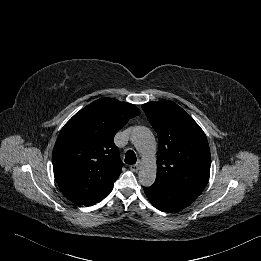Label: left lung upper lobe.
Returning <instances> with one entry per match:
<instances>
[{"mask_svg": "<svg viewBox=\"0 0 261 261\" xmlns=\"http://www.w3.org/2000/svg\"><path fill=\"white\" fill-rule=\"evenodd\" d=\"M142 108L159 137L155 183L199 195L210 175L205 133L172 101L148 102Z\"/></svg>", "mask_w": 261, "mask_h": 261, "instance_id": "5c2ea615", "label": "left lung upper lobe"}]
</instances>
